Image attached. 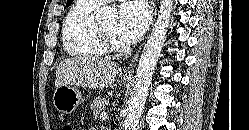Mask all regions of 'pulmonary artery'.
I'll return each mask as SVG.
<instances>
[{"instance_id": "1", "label": "pulmonary artery", "mask_w": 249, "mask_h": 130, "mask_svg": "<svg viewBox=\"0 0 249 130\" xmlns=\"http://www.w3.org/2000/svg\"><path fill=\"white\" fill-rule=\"evenodd\" d=\"M93 1L101 5V4L107 3V2L112 1V0H93Z\"/></svg>"}]
</instances>
